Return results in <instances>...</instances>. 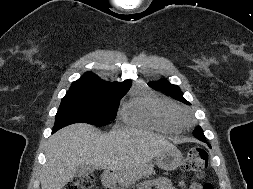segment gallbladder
Here are the masks:
<instances>
[{"label":"gallbladder","instance_id":"gallbladder-1","mask_svg":"<svg viewBox=\"0 0 253 189\" xmlns=\"http://www.w3.org/2000/svg\"><path fill=\"white\" fill-rule=\"evenodd\" d=\"M94 171V168L89 165L80 164L76 167L75 177H82L88 175Z\"/></svg>","mask_w":253,"mask_h":189}]
</instances>
